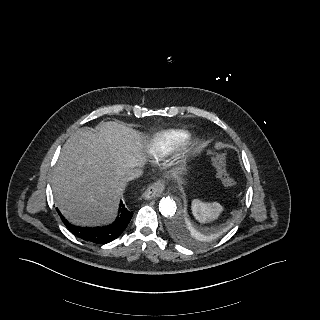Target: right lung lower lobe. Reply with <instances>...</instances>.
I'll return each mask as SVG.
<instances>
[{
  "label": "right lung lower lobe",
  "instance_id": "right-lung-lower-lobe-1",
  "mask_svg": "<svg viewBox=\"0 0 320 320\" xmlns=\"http://www.w3.org/2000/svg\"><path fill=\"white\" fill-rule=\"evenodd\" d=\"M56 210L69 231L85 241L96 244H106L116 239L126 229L133 216V212L128 211L121 202L118 216L112 224L106 227L85 228L72 225L61 215L58 209Z\"/></svg>",
  "mask_w": 320,
  "mask_h": 320
}]
</instances>
